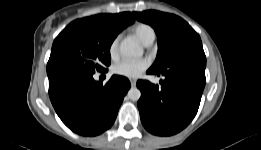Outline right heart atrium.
I'll list each match as a JSON object with an SVG mask.
<instances>
[{
    "label": "right heart atrium",
    "mask_w": 261,
    "mask_h": 150,
    "mask_svg": "<svg viewBox=\"0 0 261 150\" xmlns=\"http://www.w3.org/2000/svg\"><path fill=\"white\" fill-rule=\"evenodd\" d=\"M118 46H119V38L115 37L111 41L108 49L109 55L112 59H115L118 56Z\"/></svg>",
    "instance_id": "d8ad5b80"
}]
</instances>
